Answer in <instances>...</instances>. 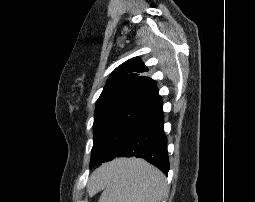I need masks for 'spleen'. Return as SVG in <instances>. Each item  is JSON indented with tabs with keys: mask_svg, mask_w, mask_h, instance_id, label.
I'll list each match as a JSON object with an SVG mask.
<instances>
[{
	"mask_svg": "<svg viewBox=\"0 0 255 202\" xmlns=\"http://www.w3.org/2000/svg\"><path fill=\"white\" fill-rule=\"evenodd\" d=\"M98 202H160L166 193L164 175L142 159H117L98 170Z\"/></svg>",
	"mask_w": 255,
	"mask_h": 202,
	"instance_id": "1",
	"label": "spleen"
}]
</instances>
